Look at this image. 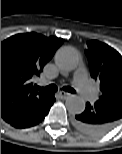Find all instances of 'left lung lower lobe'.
<instances>
[{
  "instance_id": "1",
  "label": "left lung lower lobe",
  "mask_w": 122,
  "mask_h": 154,
  "mask_svg": "<svg viewBox=\"0 0 122 154\" xmlns=\"http://www.w3.org/2000/svg\"><path fill=\"white\" fill-rule=\"evenodd\" d=\"M122 119V97L99 98L85 111L76 115L74 126L89 135H102L113 129Z\"/></svg>"
}]
</instances>
